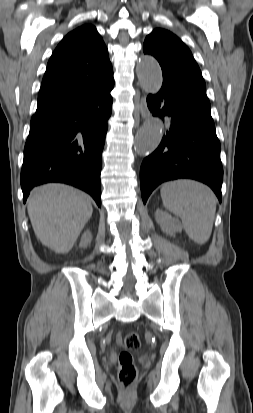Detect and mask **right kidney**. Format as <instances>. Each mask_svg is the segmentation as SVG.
<instances>
[{"mask_svg":"<svg viewBox=\"0 0 253 413\" xmlns=\"http://www.w3.org/2000/svg\"><path fill=\"white\" fill-rule=\"evenodd\" d=\"M92 240V234L90 231H86L83 233V235L81 236V241H80V247H87Z\"/></svg>","mask_w":253,"mask_h":413,"instance_id":"obj_1","label":"right kidney"}]
</instances>
